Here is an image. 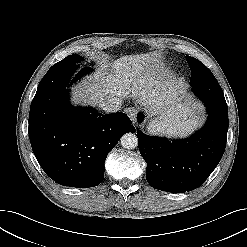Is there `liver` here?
<instances>
[{
  "mask_svg": "<svg viewBox=\"0 0 247 247\" xmlns=\"http://www.w3.org/2000/svg\"><path fill=\"white\" fill-rule=\"evenodd\" d=\"M157 61L154 53L122 56L110 63L109 68L89 76L87 81L76 87L72 101L98 106L111 97L121 100L133 96L150 113H160L179 100L182 85L165 80ZM144 66L147 67L146 72ZM183 110L190 115L196 113L190 103Z\"/></svg>",
  "mask_w": 247,
  "mask_h": 247,
  "instance_id": "1",
  "label": "liver"
}]
</instances>
